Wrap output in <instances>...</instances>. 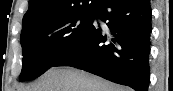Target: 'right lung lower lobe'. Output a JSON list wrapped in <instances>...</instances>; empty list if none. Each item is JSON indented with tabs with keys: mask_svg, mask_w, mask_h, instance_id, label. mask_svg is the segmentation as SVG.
<instances>
[{
	"mask_svg": "<svg viewBox=\"0 0 173 91\" xmlns=\"http://www.w3.org/2000/svg\"><path fill=\"white\" fill-rule=\"evenodd\" d=\"M150 0H98L85 35L53 66H72L147 91L150 81Z\"/></svg>",
	"mask_w": 173,
	"mask_h": 91,
	"instance_id": "right-lung-lower-lobe-1",
	"label": "right lung lower lobe"
}]
</instances>
